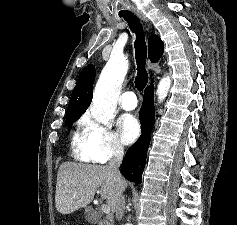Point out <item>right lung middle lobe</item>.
<instances>
[{"label":"right lung middle lobe","mask_w":237,"mask_h":225,"mask_svg":"<svg viewBox=\"0 0 237 225\" xmlns=\"http://www.w3.org/2000/svg\"><path fill=\"white\" fill-rule=\"evenodd\" d=\"M84 112H75L72 114H68L67 118H66V125L70 126L72 125L76 120H78L80 118V116L83 114Z\"/></svg>","instance_id":"dd1d6c3e"}]
</instances>
